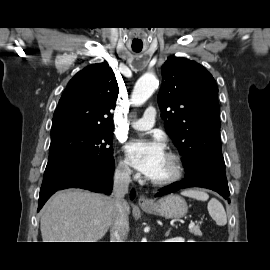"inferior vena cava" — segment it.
<instances>
[{
  "mask_svg": "<svg viewBox=\"0 0 270 270\" xmlns=\"http://www.w3.org/2000/svg\"><path fill=\"white\" fill-rule=\"evenodd\" d=\"M131 171L127 165H119L113 178L112 197L115 200V209L111 221V242H125L129 232L127 202L124 197L128 193Z\"/></svg>",
  "mask_w": 270,
  "mask_h": 270,
  "instance_id": "obj_1",
  "label": "inferior vena cava"
}]
</instances>
